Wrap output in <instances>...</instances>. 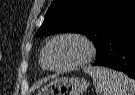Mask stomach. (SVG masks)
I'll return each instance as SVG.
<instances>
[{
	"label": "stomach",
	"instance_id": "stomach-1",
	"mask_svg": "<svg viewBox=\"0 0 135 95\" xmlns=\"http://www.w3.org/2000/svg\"><path fill=\"white\" fill-rule=\"evenodd\" d=\"M88 88L84 78L56 77L36 95H83Z\"/></svg>",
	"mask_w": 135,
	"mask_h": 95
}]
</instances>
